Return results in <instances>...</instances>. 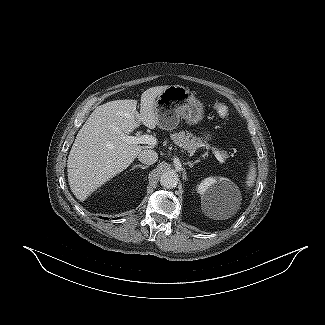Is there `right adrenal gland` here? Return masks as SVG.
I'll list each match as a JSON object with an SVG mask.
<instances>
[{
	"instance_id": "right-adrenal-gland-1",
	"label": "right adrenal gland",
	"mask_w": 325,
	"mask_h": 325,
	"mask_svg": "<svg viewBox=\"0 0 325 325\" xmlns=\"http://www.w3.org/2000/svg\"><path fill=\"white\" fill-rule=\"evenodd\" d=\"M135 168L146 169V168H148V166L147 165H142V164H137V165L133 166L132 170L135 169Z\"/></svg>"
}]
</instances>
